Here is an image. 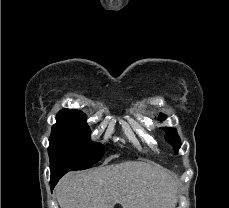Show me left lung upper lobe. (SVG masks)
Masks as SVG:
<instances>
[{"label":"left lung upper lobe","mask_w":229,"mask_h":208,"mask_svg":"<svg viewBox=\"0 0 229 208\" xmlns=\"http://www.w3.org/2000/svg\"><path fill=\"white\" fill-rule=\"evenodd\" d=\"M166 116L164 114H160V120H164ZM166 132L165 139L167 142H169L175 149V153H177L178 149L180 148V138L179 136L175 133V130L170 127H164L162 128Z\"/></svg>","instance_id":"obj_1"}]
</instances>
